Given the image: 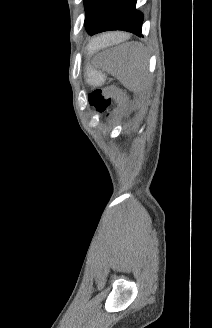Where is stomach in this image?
I'll return each instance as SVG.
<instances>
[{"instance_id":"stomach-1","label":"stomach","mask_w":212,"mask_h":328,"mask_svg":"<svg viewBox=\"0 0 212 328\" xmlns=\"http://www.w3.org/2000/svg\"><path fill=\"white\" fill-rule=\"evenodd\" d=\"M88 82L92 85H99L104 81L102 73L96 71L93 68H89L87 72Z\"/></svg>"}]
</instances>
